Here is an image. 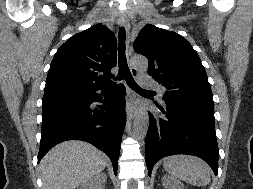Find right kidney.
I'll list each match as a JSON object with an SVG mask.
<instances>
[{
  "instance_id": "ca27d5eb",
  "label": "right kidney",
  "mask_w": 253,
  "mask_h": 189,
  "mask_svg": "<svg viewBox=\"0 0 253 189\" xmlns=\"http://www.w3.org/2000/svg\"><path fill=\"white\" fill-rule=\"evenodd\" d=\"M106 179V174H98L82 184L79 189H105Z\"/></svg>"
}]
</instances>
